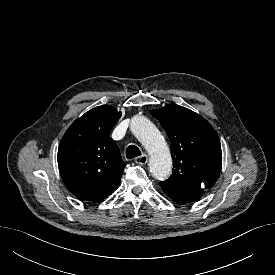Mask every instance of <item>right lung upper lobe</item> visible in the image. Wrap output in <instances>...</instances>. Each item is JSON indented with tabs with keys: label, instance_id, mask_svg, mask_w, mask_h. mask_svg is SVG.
Segmentation results:
<instances>
[{
	"label": "right lung upper lobe",
	"instance_id": "right-lung-upper-lobe-1",
	"mask_svg": "<svg viewBox=\"0 0 275 275\" xmlns=\"http://www.w3.org/2000/svg\"><path fill=\"white\" fill-rule=\"evenodd\" d=\"M121 117L102 105L74 121L58 149V167L68 190L77 198L98 202L118 186L126 164L110 131Z\"/></svg>",
	"mask_w": 275,
	"mask_h": 275
}]
</instances>
